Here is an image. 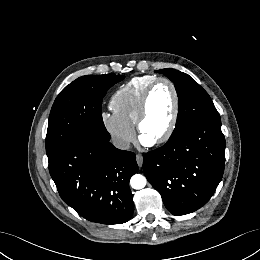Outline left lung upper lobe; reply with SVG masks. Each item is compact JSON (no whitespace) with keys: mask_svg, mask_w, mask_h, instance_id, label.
<instances>
[{"mask_svg":"<svg viewBox=\"0 0 260 260\" xmlns=\"http://www.w3.org/2000/svg\"><path fill=\"white\" fill-rule=\"evenodd\" d=\"M158 72L174 82L179 97L178 117L170 139L176 138L199 120L219 117L210 96L189 75L175 69H162Z\"/></svg>","mask_w":260,"mask_h":260,"instance_id":"left-lung-upper-lobe-1","label":"left lung upper lobe"}]
</instances>
